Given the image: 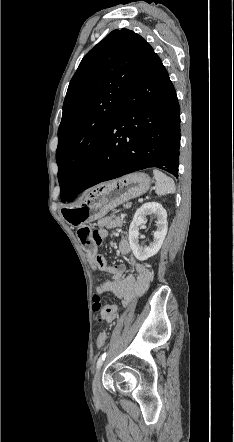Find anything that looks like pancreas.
Instances as JSON below:
<instances>
[{
    "label": "pancreas",
    "mask_w": 234,
    "mask_h": 442,
    "mask_svg": "<svg viewBox=\"0 0 234 442\" xmlns=\"http://www.w3.org/2000/svg\"><path fill=\"white\" fill-rule=\"evenodd\" d=\"M123 207L127 208V209L130 208L131 207V203L128 202V203L124 204Z\"/></svg>",
    "instance_id": "1"
}]
</instances>
